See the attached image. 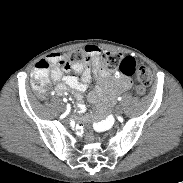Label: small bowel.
<instances>
[{
  "instance_id": "1",
  "label": "small bowel",
  "mask_w": 183,
  "mask_h": 183,
  "mask_svg": "<svg viewBox=\"0 0 183 183\" xmlns=\"http://www.w3.org/2000/svg\"><path fill=\"white\" fill-rule=\"evenodd\" d=\"M85 50L90 58V63L85 66L73 65L69 69H61L57 64L62 60V54H52L47 58L51 67V79L54 82L62 81V83L57 85V91H72L76 99V108L80 114L85 111L82 93L88 89L91 83V66L98 82V85L90 95V99L93 102L98 101L99 97L103 94H105L110 101L115 95L128 91L132 85L131 80L125 75L110 77L108 71L101 66V49L98 46L88 45L85 47ZM71 69L78 73V76L71 74ZM114 124L115 119L112 116H107L105 119L96 121L93 127L96 132L103 133ZM79 129H82L81 125L79 126Z\"/></svg>"
}]
</instances>
